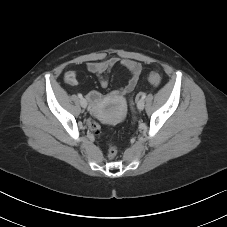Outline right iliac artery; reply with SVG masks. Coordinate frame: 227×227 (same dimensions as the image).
I'll return each mask as SVG.
<instances>
[{
	"instance_id": "82829eb1",
	"label": "right iliac artery",
	"mask_w": 227,
	"mask_h": 227,
	"mask_svg": "<svg viewBox=\"0 0 227 227\" xmlns=\"http://www.w3.org/2000/svg\"><path fill=\"white\" fill-rule=\"evenodd\" d=\"M78 97L80 98V99H82L83 98V96H82V94H78Z\"/></svg>"
}]
</instances>
